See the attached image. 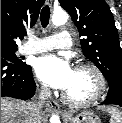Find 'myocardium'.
Instances as JSON below:
<instances>
[{
	"label": "myocardium",
	"mask_w": 122,
	"mask_h": 123,
	"mask_svg": "<svg viewBox=\"0 0 122 123\" xmlns=\"http://www.w3.org/2000/svg\"><path fill=\"white\" fill-rule=\"evenodd\" d=\"M76 69H90L98 78L99 88L95 95L85 100H74L69 97L65 92L63 93L64 101L70 106L74 107H86L98 102L106 93L107 90V79L103 71L93 63L83 62L76 66Z\"/></svg>",
	"instance_id": "f54148a6"
}]
</instances>
